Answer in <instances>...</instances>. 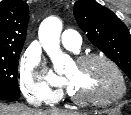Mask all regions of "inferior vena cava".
I'll list each match as a JSON object with an SVG mask.
<instances>
[{
	"label": "inferior vena cava",
	"mask_w": 131,
	"mask_h": 115,
	"mask_svg": "<svg viewBox=\"0 0 131 115\" xmlns=\"http://www.w3.org/2000/svg\"><path fill=\"white\" fill-rule=\"evenodd\" d=\"M27 102L35 107H39L41 105V100L33 99L32 97H27Z\"/></svg>",
	"instance_id": "obj_1"
}]
</instances>
